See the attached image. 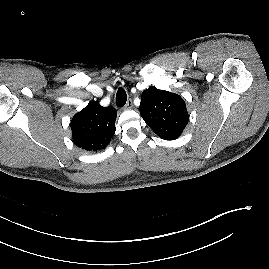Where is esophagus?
<instances>
[{
	"label": "esophagus",
	"mask_w": 269,
	"mask_h": 269,
	"mask_svg": "<svg viewBox=\"0 0 269 269\" xmlns=\"http://www.w3.org/2000/svg\"><path fill=\"white\" fill-rule=\"evenodd\" d=\"M132 107H133V102L131 99H128L126 105L124 106V109L128 110V109H131Z\"/></svg>",
	"instance_id": "1"
}]
</instances>
